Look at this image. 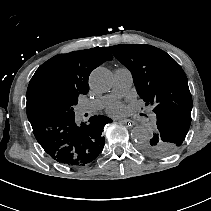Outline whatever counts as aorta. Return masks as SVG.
I'll return each mask as SVG.
<instances>
[{
  "instance_id": "aorta-1",
  "label": "aorta",
  "mask_w": 211,
  "mask_h": 211,
  "mask_svg": "<svg viewBox=\"0 0 211 211\" xmlns=\"http://www.w3.org/2000/svg\"><path fill=\"white\" fill-rule=\"evenodd\" d=\"M112 82L111 72L104 67L94 69L89 77L90 87L96 92L108 91L112 87ZM149 137V130L144 126L137 125L131 130V138L137 143H141Z\"/></svg>"
}]
</instances>
